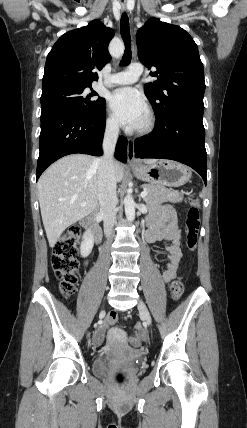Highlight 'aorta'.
I'll return each mask as SVG.
<instances>
[{
	"label": "aorta",
	"mask_w": 247,
	"mask_h": 428,
	"mask_svg": "<svg viewBox=\"0 0 247 428\" xmlns=\"http://www.w3.org/2000/svg\"><path fill=\"white\" fill-rule=\"evenodd\" d=\"M124 52L123 46H120L118 50H113V57L119 59L122 57ZM125 215L128 221L135 219V202L131 194H127L124 198Z\"/></svg>",
	"instance_id": "762f6f07"
}]
</instances>
